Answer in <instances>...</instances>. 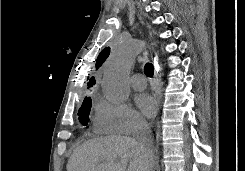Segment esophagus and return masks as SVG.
Wrapping results in <instances>:
<instances>
[{
    "mask_svg": "<svg viewBox=\"0 0 245 171\" xmlns=\"http://www.w3.org/2000/svg\"><path fill=\"white\" fill-rule=\"evenodd\" d=\"M159 71H160V66L158 63V57L154 59V91L156 94V98L158 101V105L160 104L161 101V93H160V83H159Z\"/></svg>",
    "mask_w": 245,
    "mask_h": 171,
    "instance_id": "34e87169",
    "label": "esophagus"
}]
</instances>
